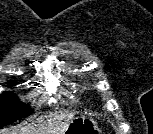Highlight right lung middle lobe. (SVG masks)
<instances>
[{"label": "right lung middle lobe", "instance_id": "1", "mask_svg": "<svg viewBox=\"0 0 153 134\" xmlns=\"http://www.w3.org/2000/svg\"><path fill=\"white\" fill-rule=\"evenodd\" d=\"M11 88L10 85H8ZM27 105L21 103L12 92L0 95V128L25 118L32 113Z\"/></svg>", "mask_w": 153, "mask_h": 134}]
</instances>
